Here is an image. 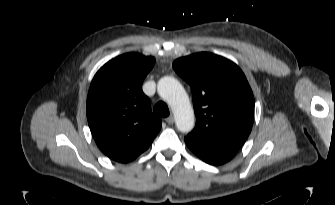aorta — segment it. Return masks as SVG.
<instances>
[{
    "mask_svg": "<svg viewBox=\"0 0 335 205\" xmlns=\"http://www.w3.org/2000/svg\"><path fill=\"white\" fill-rule=\"evenodd\" d=\"M158 94L172 108L176 127L180 132L188 133L195 125L194 111L189 97L181 83L173 77H163L157 84Z\"/></svg>",
    "mask_w": 335,
    "mask_h": 205,
    "instance_id": "aorta-1",
    "label": "aorta"
}]
</instances>
